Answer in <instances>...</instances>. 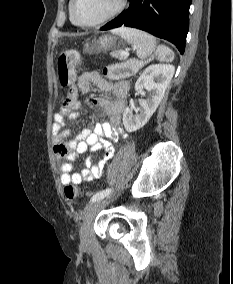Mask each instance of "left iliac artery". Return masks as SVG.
Here are the masks:
<instances>
[{
  "label": "left iliac artery",
  "instance_id": "1",
  "mask_svg": "<svg viewBox=\"0 0 233 284\" xmlns=\"http://www.w3.org/2000/svg\"><path fill=\"white\" fill-rule=\"evenodd\" d=\"M111 192V189H105V190H102V191H99L97 193H95L93 195V197L91 198V202H94V201H98V200H101L103 199L104 197H106L107 195H109Z\"/></svg>",
  "mask_w": 233,
  "mask_h": 284
}]
</instances>
